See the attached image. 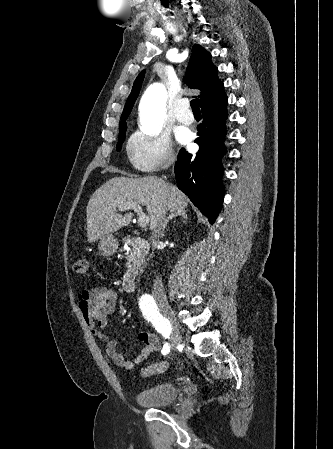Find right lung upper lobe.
<instances>
[{
	"label": "right lung upper lobe",
	"instance_id": "1",
	"mask_svg": "<svg viewBox=\"0 0 333 449\" xmlns=\"http://www.w3.org/2000/svg\"><path fill=\"white\" fill-rule=\"evenodd\" d=\"M217 67L211 62V54L200 45H194L192 55L186 72V83L190 88L201 91L200 104L209 95L223 87V83L217 77ZM145 75L143 70L136 78L132 91L125 104L122 118H127L132 110L134 102L139 94L141 83Z\"/></svg>",
	"mask_w": 333,
	"mask_h": 449
}]
</instances>
